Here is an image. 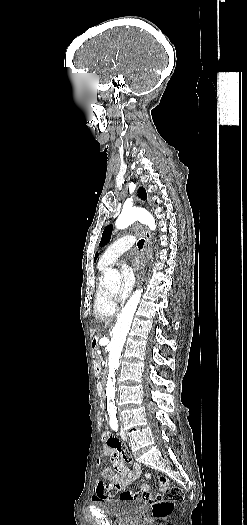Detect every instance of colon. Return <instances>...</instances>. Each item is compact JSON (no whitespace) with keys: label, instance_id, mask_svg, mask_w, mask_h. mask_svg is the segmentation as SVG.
I'll return each mask as SVG.
<instances>
[{"label":"colon","instance_id":"obj_1","mask_svg":"<svg viewBox=\"0 0 247 525\" xmlns=\"http://www.w3.org/2000/svg\"><path fill=\"white\" fill-rule=\"evenodd\" d=\"M95 424L97 430L102 432L106 421L104 418L99 417L96 419ZM184 499V492L179 487L174 486L173 489H161L160 493L151 500V508L154 517L161 518L169 515L172 511L173 505L176 502Z\"/></svg>","mask_w":247,"mask_h":525}]
</instances>
